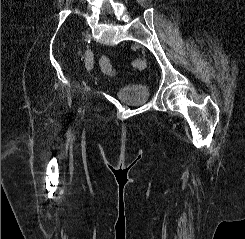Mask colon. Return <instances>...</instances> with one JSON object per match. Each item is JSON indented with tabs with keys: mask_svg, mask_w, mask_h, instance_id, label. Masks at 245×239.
Wrapping results in <instances>:
<instances>
[{
	"mask_svg": "<svg viewBox=\"0 0 245 239\" xmlns=\"http://www.w3.org/2000/svg\"><path fill=\"white\" fill-rule=\"evenodd\" d=\"M100 65H101V68L102 70L108 74V75H112L113 72H114V69H113V66L109 60L108 57H105L103 56L101 59H100Z\"/></svg>",
	"mask_w": 245,
	"mask_h": 239,
	"instance_id": "1",
	"label": "colon"
}]
</instances>
